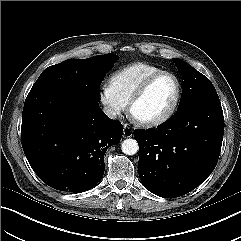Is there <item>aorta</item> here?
Listing matches in <instances>:
<instances>
[{"mask_svg": "<svg viewBox=\"0 0 241 241\" xmlns=\"http://www.w3.org/2000/svg\"><path fill=\"white\" fill-rule=\"evenodd\" d=\"M122 152L126 155H134L137 153L139 146L134 139H125L121 144Z\"/></svg>", "mask_w": 241, "mask_h": 241, "instance_id": "obj_1", "label": "aorta"}]
</instances>
